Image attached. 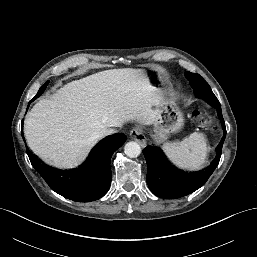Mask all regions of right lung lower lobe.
<instances>
[{
    "mask_svg": "<svg viewBox=\"0 0 257 257\" xmlns=\"http://www.w3.org/2000/svg\"><path fill=\"white\" fill-rule=\"evenodd\" d=\"M125 141L126 137L121 133L102 139L80 166L69 170L43 164L28 149L27 154L32 166L52 190L73 201L90 202L100 199L109 190L112 180L110 160Z\"/></svg>",
    "mask_w": 257,
    "mask_h": 257,
    "instance_id": "98d812e1",
    "label": "right lung lower lobe"
}]
</instances>
